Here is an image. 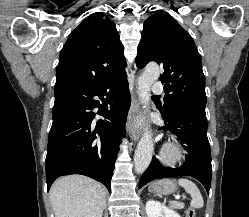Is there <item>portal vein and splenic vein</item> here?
I'll list each match as a JSON object with an SVG mask.
<instances>
[{
    "label": "portal vein and splenic vein",
    "instance_id": "1",
    "mask_svg": "<svg viewBox=\"0 0 249 217\" xmlns=\"http://www.w3.org/2000/svg\"><path fill=\"white\" fill-rule=\"evenodd\" d=\"M180 198H181V197H180L179 195L175 197L176 200H178V199H180Z\"/></svg>",
    "mask_w": 249,
    "mask_h": 217
}]
</instances>
